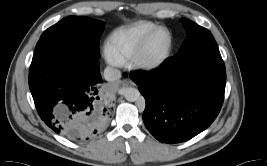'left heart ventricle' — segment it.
Wrapping results in <instances>:
<instances>
[{
	"label": "left heart ventricle",
	"instance_id": "1",
	"mask_svg": "<svg viewBox=\"0 0 267 166\" xmlns=\"http://www.w3.org/2000/svg\"><path fill=\"white\" fill-rule=\"evenodd\" d=\"M168 36L166 32L158 33L151 41L148 47V55L157 56L163 52L166 47Z\"/></svg>",
	"mask_w": 267,
	"mask_h": 166
}]
</instances>
